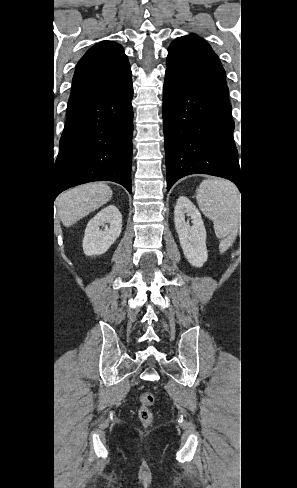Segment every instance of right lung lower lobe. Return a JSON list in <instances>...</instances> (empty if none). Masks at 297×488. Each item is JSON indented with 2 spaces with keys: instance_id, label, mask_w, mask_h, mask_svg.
Returning a JSON list of instances; mask_svg holds the SVG:
<instances>
[{
  "instance_id": "right-lung-lower-lobe-1",
  "label": "right lung lower lobe",
  "mask_w": 297,
  "mask_h": 488,
  "mask_svg": "<svg viewBox=\"0 0 297 488\" xmlns=\"http://www.w3.org/2000/svg\"><path fill=\"white\" fill-rule=\"evenodd\" d=\"M133 86L131 74L67 111L55 163L54 199L93 181H114L131 193Z\"/></svg>"
}]
</instances>
